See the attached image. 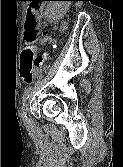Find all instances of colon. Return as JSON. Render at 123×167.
Masks as SVG:
<instances>
[{
    "mask_svg": "<svg viewBox=\"0 0 123 167\" xmlns=\"http://www.w3.org/2000/svg\"><path fill=\"white\" fill-rule=\"evenodd\" d=\"M38 6H40V4L32 7L25 18L24 41L27 46L21 55L20 75L21 78L27 82L32 81L34 66L42 64L45 60V54L42 56L36 55L34 48V43L40 36L41 7Z\"/></svg>",
    "mask_w": 123,
    "mask_h": 167,
    "instance_id": "5ec220e1",
    "label": "colon"
}]
</instances>
